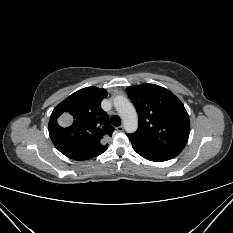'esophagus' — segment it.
I'll return each instance as SVG.
<instances>
[{"label": "esophagus", "instance_id": "obj_1", "mask_svg": "<svg viewBox=\"0 0 233 233\" xmlns=\"http://www.w3.org/2000/svg\"><path fill=\"white\" fill-rule=\"evenodd\" d=\"M116 130L118 131V132H122L123 130H124V127L121 125V126H118L117 128H116Z\"/></svg>", "mask_w": 233, "mask_h": 233}]
</instances>
